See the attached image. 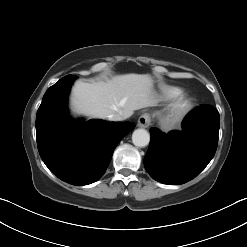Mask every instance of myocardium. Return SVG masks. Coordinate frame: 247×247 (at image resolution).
Wrapping results in <instances>:
<instances>
[{
  "label": "myocardium",
  "instance_id": "1",
  "mask_svg": "<svg viewBox=\"0 0 247 247\" xmlns=\"http://www.w3.org/2000/svg\"><path fill=\"white\" fill-rule=\"evenodd\" d=\"M194 100L187 96H182L172 103L169 107L165 120L167 123L174 124L181 121L193 109Z\"/></svg>",
  "mask_w": 247,
  "mask_h": 247
}]
</instances>
